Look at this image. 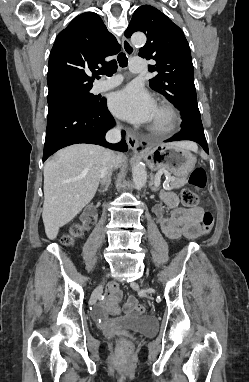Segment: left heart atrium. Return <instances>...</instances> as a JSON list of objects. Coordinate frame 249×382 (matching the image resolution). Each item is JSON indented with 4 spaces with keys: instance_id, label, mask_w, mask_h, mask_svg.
<instances>
[{
    "instance_id": "1",
    "label": "left heart atrium",
    "mask_w": 249,
    "mask_h": 382,
    "mask_svg": "<svg viewBox=\"0 0 249 382\" xmlns=\"http://www.w3.org/2000/svg\"><path fill=\"white\" fill-rule=\"evenodd\" d=\"M109 107L116 116L133 123L150 122L156 109L151 95L136 84L112 94Z\"/></svg>"
}]
</instances>
